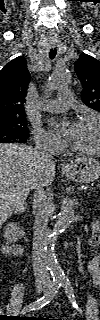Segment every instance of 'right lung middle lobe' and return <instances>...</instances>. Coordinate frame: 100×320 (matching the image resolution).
Returning <instances> with one entry per match:
<instances>
[{"label": "right lung middle lobe", "mask_w": 100, "mask_h": 320, "mask_svg": "<svg viewBox=\"0 0 100 320\" xmlns=\"http://www.w3.org/2000/svg\"><path fill=\"white\" fill-rule=\"evenodd\" d=\"M1 141L8 139L27 140L29 137L25 116L0 119Z\"/></svg>", "instance_id": "1"}]
</instances>
